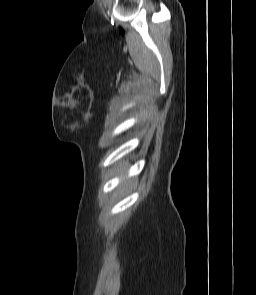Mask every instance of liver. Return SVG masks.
Wrapping results in <instances>:
<instances>
[{
  "label": "liver",
  "mask_w": 256,
  "mask_h": 295,
  "mask_svg": "<svg viewBox=\"0 0 256 295\" xmlns=\"http://www.w3.org/2000/svg\"><path fill=\"white\" fill-rule=\"evenodd\" d=\"M122 170H123V167H122V165L120 164V165L116 168V171H117L118 173H120Z\"/></svg>",
  "instance_id": "6515ba94"
}]
</instances>
